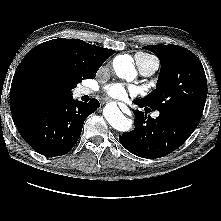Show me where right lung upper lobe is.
<instances>
[{"instance_id":"right-lung-upper-lobe-1","label":"right lung upper lobe","mask_w":221,"mask_h":221,"mask_svg":"<svg viewBox=\"0 0 221 221\" xmlns=\"http://www.w3.org/2000/svg\"><path fill=\"white\" fill-rule=\"evenodd\" d=\"M115 50L77 39H53L30 50L18 65L10 91L13 113L25 105L63 101L83 79H93Z\"/></svg>"}]
</instances>
